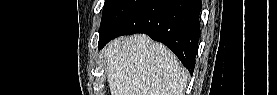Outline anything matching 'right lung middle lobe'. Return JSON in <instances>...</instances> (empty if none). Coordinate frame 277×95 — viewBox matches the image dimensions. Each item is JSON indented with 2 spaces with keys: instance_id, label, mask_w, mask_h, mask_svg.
Masks as SVG:
<instances>
[{
  "instance_id": "1",
  "label": "right lung middle lobe",
  "mask_w": 277,
  "mask_h": 95,
  "mask_svg": "<svg viewBox=\"0 0 277 95\" xmlns=\"http://www.w3.org/2000/svg\"><path fill=\"white\" fill-rule=\"evenodd\" d=\"M144 1L145 0H105L98 45H100L113 29Z\"/></svg>"
}]
</instances>
